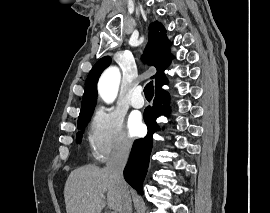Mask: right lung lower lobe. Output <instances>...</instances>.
Masks as SVG:
<instances>
[{"label":"right lung lower lobe","mask_w":270,"mask_h":213,"mask_svg":"<svg viewBox=\"0 0 270 213\" xmlns=\"http://www.w3.org/2000/svg\"><path fill=\"white\" fill-rule=\"evenodd\" d=\"M166 83L167 80L155 87L153 106L146 108L144 111V120L148 127V134L144 139L134 142L128 163L124 169V177L127 183L141 194H143L142 185L152 149V135L158 130L156 118L161 114H169V107L167 105L169 96L162 89V85ZM162 103L164 105H161Z\"/></svg>","instance_id":"98d812e1"}]
</instances>
